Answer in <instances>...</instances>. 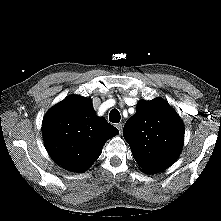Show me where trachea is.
I'll return each instance as SVG.
<instances>
[{"label":"trachea","mask_w":221,"mask_h":221,"mask_svg":"<svg viewBox=\"0 0 221 221\" xmlns=\"http://www.w3.org/2000/svg\"><path fill=\"white\" fill-rule=\"evenodd\" d=\"M121 119L120 113L117 109H112L109 113V120L112 123H119Z\"/></svg>","instance_id":"obj_1"}]
</instances>
